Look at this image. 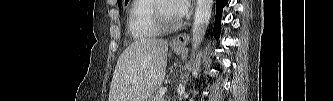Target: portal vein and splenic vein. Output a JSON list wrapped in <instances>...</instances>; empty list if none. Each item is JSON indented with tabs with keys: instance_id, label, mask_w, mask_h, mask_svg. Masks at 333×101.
Returning <instances> with one entry per match:
<instances>
[{
	"instance_id": "portal-vein-and-splenic-vein-1",
	"label": "portal vein and splenic vein",
	"mask_w": 333,
	"mask_h": 101,
	"mask_svg": "<svg viewBox=\"0 0 333 101\" xmlns=\"http://www.w3.org/2000/svg\"><path fill=\"white\" fill-rule=\"evenodd\" d=\"M166 92H167V88H166V87H165V88H162V90H161V94L164 95Z\"/></svg>"
}]
</instances>
